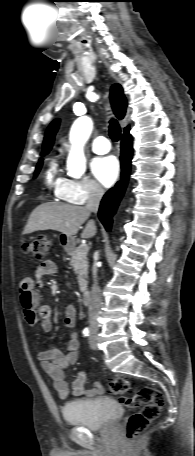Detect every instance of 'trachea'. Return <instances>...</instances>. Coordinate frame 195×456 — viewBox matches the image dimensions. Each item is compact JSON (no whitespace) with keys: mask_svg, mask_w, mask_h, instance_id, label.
I'll list each match as a JSON object with an SVG mask.
<instances>
[{"mask_svg":"<svg viewBox=\"0 0 195 456\" xmlns=\"http://www.w3.org/2000/svg\"><path fill=\"white\" fill-rule=\"evenodd\" d=\"M109 135L114 142L118 141L121 137V129L115 119L110 120Z\"/></svg>","mask_w":195,"mask_h":456,"instance_id":"obj_1","label":"trachea"}]
</instances>
